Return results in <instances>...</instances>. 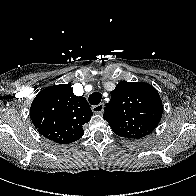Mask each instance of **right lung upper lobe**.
<instances>
[{
  "label": "right lung upper lobe",
  "mask_w": 196,
  "mask_h": 196,
  "mask_svg": "<svg viewBox=\"0 0 196 196\" xmlns=\"http://www.w3.org/2000/svg\"><path fill=\"white\" fill-rule=\"evenodd\" d=\"M30 113L39 134L59 144L80 139L84 134L82 126L93 115L87 100L74 95L70 84L40 91L32 102Z\"/></svg>",
  "instance_id": "obj_1"
}]
</instances>
